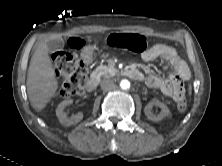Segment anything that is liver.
<instances>
[{"mask_svg": "<svg viewBox=\"0 0 222 166\" xmlns=\"http://www.w3.org/2000/svg\"><path fill=\"white\" fill-rule=\"evenodd\" d=\"M57 89L58 81L49 59L48 46L41 42L32 55L27 75V93L32 107L42 111Z\"/></svg>", "mask_w": 222, "mask_h": 166, "instance_id": "liver-1", "label": "liver"}]
</instances>
